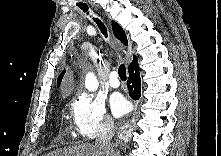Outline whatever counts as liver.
<instances>
[{"label": "liver", "mask_w": 221, "mask_h": 156, "mask_svg": "<svg viewBox=\"0 0 221 156\" xmlns=\"http://www.w3.org/2000/svg\"><path fill=\"white\" fill-rule=\"evenodd\" d=\"M114 151H107L97 145L83 144L55 150L49 156H114Z\"/></svg>", "instance_id": "6515ba94"}]
</instances>
